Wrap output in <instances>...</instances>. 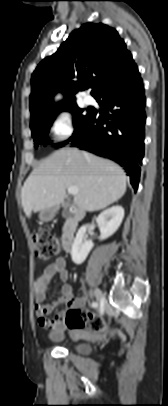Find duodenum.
<instances>
[{"instance_id": "obj_1", "label": "duodenum", "mask_w": 168, "mask_h": 406, "mask_svg": "<svg viewBox=\"0 0 168 406\" xmlns=\"http://www.w3.org/2000/svg\"><path fill=\"white\" fill-rule=\"evenodd\" d=\"M60 206L65 207L66 205L61 204ZM83 216V212L76 209L67 219L62 234V245L65 250H68L71 247L77 227L80 221L83 219Z\"/></svg>"}]
</instances>
